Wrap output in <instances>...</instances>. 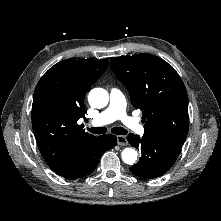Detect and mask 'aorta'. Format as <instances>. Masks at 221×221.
Returning a JSON list of instances; mask_svg holds the SVG:
<instances>
[{
	"label": "aorta",
	"mask_w": 221,
	"mask_h": 221,
	"mask_svg": "<svg viewBox=\"0 0 221 221\" xmlns=\"http://www.w3.org/2000/svg\"><path fill=\"white\" fill-rule=\"evenodd\" d=\"M88 101L93 107L103 108L109 101L108 92L103 88H94L88 95ZM137 156V151L133 148H125L121 153L122 160L129 165H132L137 160Z\"/></svg>",
	"instance_id": "1"
}]
</instances>
